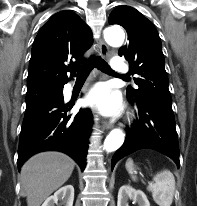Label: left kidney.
<instances>
[{
    "mask_svg": "<svg viewBox=\"0 0 197 206\" xmlns=\"http://www.w3.org/2000/svg\"><path fill=\"white\" fill-rule=\"evenodd\" d=\"M128 199L133 200L139 206H150V203L141 190H136L129 185H123L118 192L117 206H128Z\"/></svg>",
    "mask_w": 197,
    "mask_h": 206,
    "instance_id": "5707ae66",
    "label": "left kidney"
}]
</instances>
